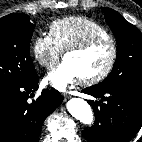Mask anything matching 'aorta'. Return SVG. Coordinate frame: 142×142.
Here are the masks:
<instances>
[{
	"instance_id": "1",
	"label": "aorta",
	"mask_w": 142,
	"mask_h": 142,
	"mask_svg": "<svg viewBox=\"0 0 142 142\" xmlns=\"http://www.w3.org/2000/svg\"><path fill=\"white\" fill-rule=\"evenodd\" d=\"M68 112L84 124L93 122V113L89 104L81 98H72L66 104Z\"/></svg>"
}]
</instances>
